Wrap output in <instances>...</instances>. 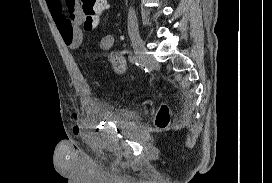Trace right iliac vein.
<instances>
[{
  "mask_svg": "<svg viewBox=\"0 0 272 183\" xmlns=\"http://www.w3.org/2000/svg\"><path fill=\"white\" fill-rule=\"evenodd\" d=\"M130 38L139 63L142 66H145L148 63L149 57L147 55L143 40L141 39L140 35L136 32H132L130 34Z\"/></svg>",
  "mask_w": 272,
  "mask_h": 183,
  "instance_id": "63e3f726",
  "label": "right iliac vein"
}]
</instances>
